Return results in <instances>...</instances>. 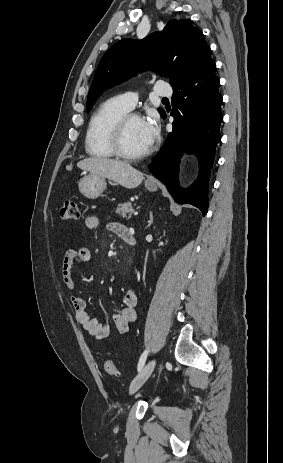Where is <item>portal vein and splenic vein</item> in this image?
Listing matches in <instances>:
<instances>
[{
	"label": "portal vein and splenic vein",
	"instance_id": "portal-vein-and-splenic-vein-1",
	"mask_svg": "<svg viewBox=\"0 0 283 463\" xmlns=\"http://www.w3.org/2000/svg\"><path fill=\"white\" fill-rule=\"evenodd\" d=\"M134 215H138V212H134Z\"/></svg>",
	"mask_w": 283,
	"mask_h": 463
}]
</instances>
